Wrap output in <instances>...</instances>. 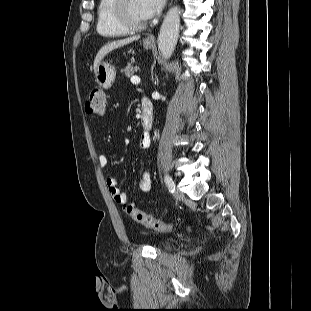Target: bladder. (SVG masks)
I'll return each instance as SVG.
<instances>
[{"label": "bladder", "instance_id": "1", "mask_svg": "<svg viewBox=\"0 0 311 311\" xmlns=\"http://www.w3.org/2000/svg\"><path fill=\"white\" fill-rule=\"evenodd\" d=\"M170 247H171V244H170V243L164 244V248H165V249H168V248H170Z\"/></svg>", "mask_w": 311, "mask_h": 311}]
</instances>
